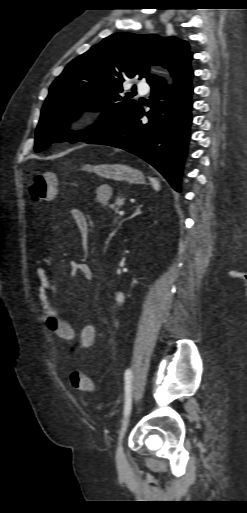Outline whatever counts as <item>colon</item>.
<instances>
[{"mask_svg": "<svg viewBox=\"0 0 247 513\" xmlns=\"http://www.w3.org/2000/svg\"><path fill=\"white\" fill-rule=\"evenodd\" d=\"M97 193L99 201L107 203L111 195H109L110 186L107 183H100L97 186ZM29 195L34 202L54 200L58 195V182L55 174L51 172L36 174L29 186ZM70 383L79 391L91 392L93 389L90 377L81 372H72Z\"/></svg>", "mask_w": 247, "mask_h": 513, "instance_id": "colon-1", "label": "colon"}]
</instances>
